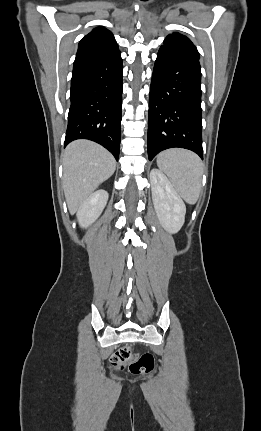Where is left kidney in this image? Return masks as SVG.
<instances>
[{"mask_svg": "<svg viewBox=\"0 0 261 431\" xmlns=\"http://www.w3.org/2000/svg\"><path fill=\"white\" fill-rule=\"evenodd\" d=\"M152 200L160 224L174 234L184 224L186 206L167 177L158 169L150 172Z\"/></svg>", "mask_w": 261, "mask_h": 431, "instance_id": "left-kidney-1", "label": "left kidney"}]
</instances>
